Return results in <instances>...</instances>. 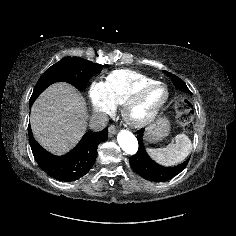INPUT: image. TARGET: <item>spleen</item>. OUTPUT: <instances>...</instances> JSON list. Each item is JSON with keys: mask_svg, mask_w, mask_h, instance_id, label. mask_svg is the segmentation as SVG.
<instances>
[{"mask_svg": "<svg viewBox=\"0 0 236 236\" xmlns=\"http://www.w3.org/2000/svg\"><path fill=\"white\" fill-rule=\"evenodd\" d=\"M192 143L185 134H178L175 143H170L164 148L147 149L149 156L163 166H174L181 163L191 153Z\"/></svg>", "mask_w": 236, "mask_h": 236, "instance_id": "obj_1", "label": "spleen"}]
</instances>
